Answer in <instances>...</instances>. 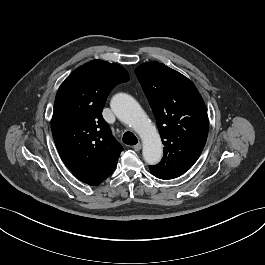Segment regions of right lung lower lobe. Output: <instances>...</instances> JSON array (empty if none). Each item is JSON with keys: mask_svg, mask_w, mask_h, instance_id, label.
I'll return each mask as SVG.
<instances>
[{"mask_svg": "<svg viewBox=\"0 0 265 265\" xmlns=\"http://www.w3.org/2000/svg\"><path fill=\"white\" fill-rule=\"evenodd\" d=\"M117 165V162L114 163L112 166L108 167L102 175H100L97 178L94 179H80L82 182L87 183L92 186H97L99 185L102 181H104L108 176L112 174V172L115 170Z\"/></svg>", "mask_w": 265, "mask_h": 265, "instance_id": "98d812e1", "label": "right lung lower lobe"}]
</instances>
